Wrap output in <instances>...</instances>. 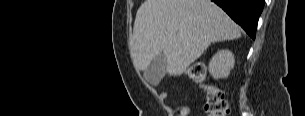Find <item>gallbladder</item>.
<instances>
[{
    "mask_svg": "<svg viewBox=\"0 0 305 116\" xmlns=\"http://www.w3.org/2000/svg\"><path fill=\"white\" fill-rule=\"evenodd\" d=\"M167 60L164 54L157 55L144 72L145 79L154 86H157L166 73Z\"/></svg>",
    "mask_w": 305,
    "mask_h": 116,
    "instance_id": "bac80fb5",
    "label": "gallbladder"
}]
</instances>
